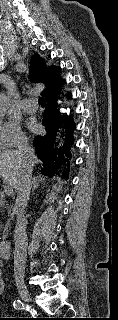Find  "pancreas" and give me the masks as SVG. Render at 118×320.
Wrapping results in <instances>:
<instances>
[{
  "label": "pancreas",
  "instance_id": "cf45deb5",
  "mask_svg": "<svg viewBox=\"0 0 118 320\" xmlns=\"http://www.w3.org/2000/svg\"><path fill=\"white\" fill-rule=\"evenodd\" d=\"M3 204H4V201H3V199H1L0 200V205H3ZM8 227H9V220L7 221V223H6L5 227H4L2 238H5L7 236ZM0 230H1V226H0Z\"/></svg>",
  "mask_w": 118,
  "mask_h": 320
}]
</instances>
